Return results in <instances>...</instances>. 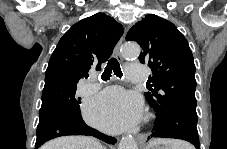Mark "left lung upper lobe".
<instances>
[{
	"instance_id": "obj_1",
	"label": "left lung upper lobe",
	"mask_w": 227,
	"mask_h": 149,
	"mask_svg": "<svg viewBox=\"0 0 227 149\" xmlns=\"http://www.w3.org/2000/svg\"><path fill=\"white\" fill-rule=\"evenodd\" d=\"M127 41L140 44L141 63L153 72V88L145 97L157 111L180 108L196 112L195 65L184 35L168 20L157 15L145 16L127 33Z\"/></svg>"
}]
</instances>
